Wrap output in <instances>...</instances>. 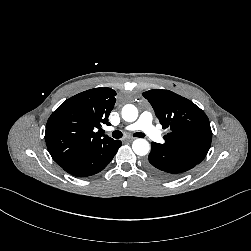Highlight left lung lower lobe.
<instances>
[{"label": "left lung lower lobe", "mask_w": 251, "mask_h": 251, "mask_svg": "<svg viewBox=\"0 0 251 251\" xmlns=\"http://www.w3.org/2000/svg\"><path fill=\"white\" fill-rule=\"evenodd\" d=\"M198 161L175 151L163 149L154 142L145 165L149 171L163 179H174L196 166Z\"/></svg>", "instance_id": "0a47b994"}]
</instances>
